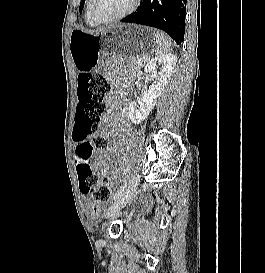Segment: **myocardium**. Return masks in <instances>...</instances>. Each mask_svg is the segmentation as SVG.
I'll return each mask as SVG.
<instances>
[{
	"mask_svg": "<svg viewBox=\"0 0 265 273\" xmlns=\"http://www.w3.org/2000/svg\"><path fill=\"white\" fill-rule=\"evenodd\" d=\"M94 3H95V0H89L88 7H87V11H88L89 16L91 17L92 20H94L98 24H108V23H114V22L120 21V20L128 17L129 15H131L137 9V7L140 3V0H133L132 5L129 7V9H127L125 12H123L117 16L111 17V18H100V17L96 16L93 11Z\"/></svg>",
	"mask_w": 265,
	"mask_h": 273,
	"instance_id": "f54148a6",
	"label": "myocardium"
}]
</instances>
